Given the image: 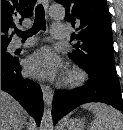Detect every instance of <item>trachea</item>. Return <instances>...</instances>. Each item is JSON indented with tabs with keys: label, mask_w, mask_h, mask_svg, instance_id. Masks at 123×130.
<instances>
[{
	"label": "trachea",
	"mask_w": 123,
	"mask_h": 130,
	"mask_svg": "<svg viewBox=\"0 0 123 130\" xmlns=\"http://www.w3.org/2000/svg\"><path fill=\"white\" fill-rule=\"evenodd\" d=\"M40 30H46L45 11L42 4L37 5L35 8V20L32 28L25 32L16 31L15 33L23 40H26L28 37L35 35Z\"/></svg>",
	"instance_id": "trachea-1"
}]
</instances>
